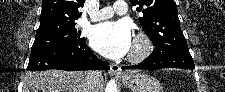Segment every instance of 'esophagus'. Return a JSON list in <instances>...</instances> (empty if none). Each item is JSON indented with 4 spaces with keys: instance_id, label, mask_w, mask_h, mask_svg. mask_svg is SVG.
<instances>
[{
    "instance_id": "1",
    "label": "esophagus",
    "mask_w": 225,
    "mask_h": 92,
    "mask_svg": "<svg viewBox=\"0 0 225 92\" xmlns=\"http://www.w3.org/2000/svg\"><path fill=\"white\" fill-rule=\"evenodd\" d=\"M111 74H115V75H122V70L121 67L118 64L115 63H111L110 64V71Z\"/></svg>"
}]
</instances>
